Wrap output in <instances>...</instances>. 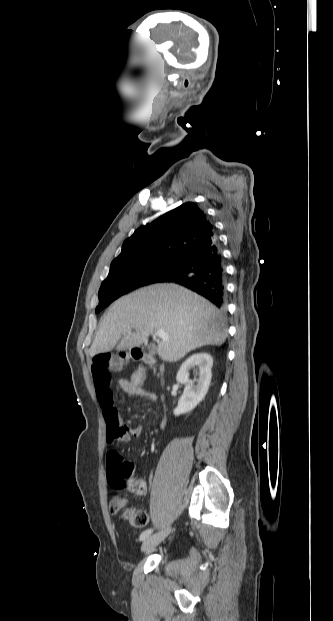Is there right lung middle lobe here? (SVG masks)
Segmentation results:
<instances>
[{
    "mask_svg": "<svg viewBox=\"0 0 333 621\" xmlns=\"http://www.w3.org/2000/svg\"><path fill=\"white\" fill-rule=\"evenodd\" d=\"M178 257H159L111 264L108 277L99 290L96 313L118 297L142 286L161 282L173 275L183 264Z\"/></svg>",
    "mask_w": 333,
    "mask_h": 621,
    "instance_id": "obj_1",
    "label": "right lung middle lobe"
}]
</instances>
